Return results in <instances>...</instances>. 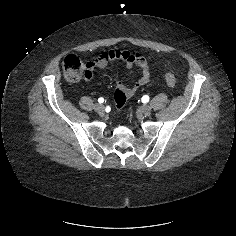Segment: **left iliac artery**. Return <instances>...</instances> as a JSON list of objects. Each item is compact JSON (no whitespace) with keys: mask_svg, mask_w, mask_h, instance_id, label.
Listing matches in <instances>:
<instances>
[{"mask_svg":"<svg viewBox=\"0 0 236 236\" xmlns=\"http://www.w3.org/2000/svg\"><path fill=\"white\" fill-rule=\"evenodd\" d=\"M142 100H143L144 102H148V101H149V96H147V95L143 96V97H142Z\"/></svg>","mask_w":236,"mask_h":236,"instance_id":"obj_1","label":"left iliac artery"}]
</instances>
